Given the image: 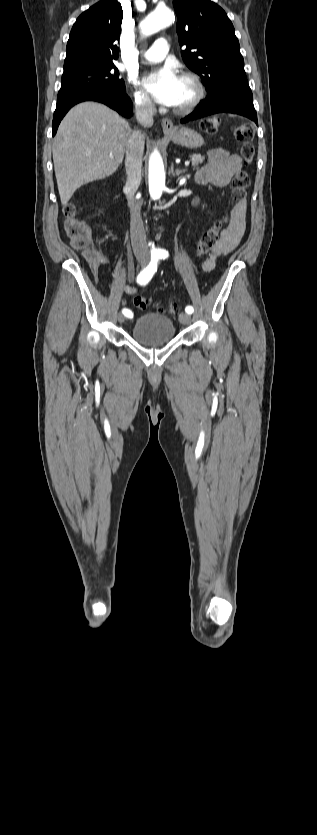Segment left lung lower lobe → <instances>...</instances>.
<instances>
[{"mask_svg": "<svg viewBox=\"0 0 317 835\" xmlns=\"http://www.w3.org/2000/svg\"><path fill=\"white\" fill-rule=\"evenodd\" d=\"M233 113L249 118L258 124L257 114L253 105V96L248 84L230 86L217 100L205 99L197 109L181 120L186 123L216 113Z\"/></svg>", "mask_w": 317, "mask_h": 835, "instance_id": "left-lung-lower-lobe-1", "label": "left lung lower lobe"}]
</instances>
